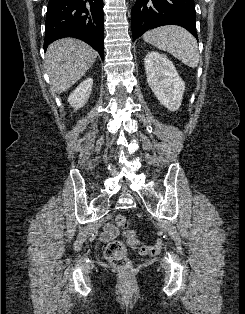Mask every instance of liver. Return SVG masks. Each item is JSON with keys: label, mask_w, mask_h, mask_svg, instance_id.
<instances>
[{"label": "liver", "mask_w": 245, "mask_h": 314, "mask_svg": "<svg viewBox=\"0 0 245 314\" xmlns=\"http://www.w3.org/2000/svg\"><path fill=\"white\" fill-rule=\"evenodd\" d=\"M98 53L88 44L64 38L49 45L45 64L51 89L63 93L74 85L93 65Z\"/></svg>", "instance_id": "obj_1"}]
</instances>
